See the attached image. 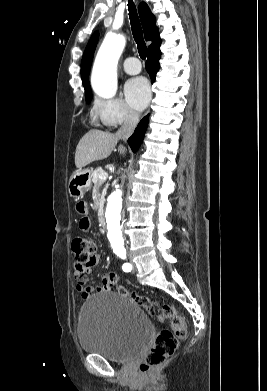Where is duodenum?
<instances>
[{
  "mask_svg": "<svg viewBox=\"0 0 267 391\" xmlns=\"http://www.w3.org/2000/svg\"><path fill=\"white\" fill-rule=\"evenodd\" d=\"M98 220H99L100 227L102 229H105L106 228V220H105L103 211H99Z\"/></svg>",
  "mask_w": 267,
  "mask_h": 391,
  "instance_id": "obj_1",
  "label": "duodenum"
}]
</instances>
